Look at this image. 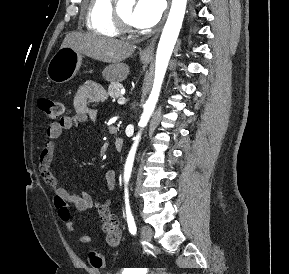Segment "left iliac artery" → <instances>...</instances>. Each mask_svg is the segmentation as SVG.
Wrapping results in <instances>:
<instances>
[{"label": "left iliac artery", "mask_w": 289, "mask_h": 274, "mask_svg": "<svg viewBox=\"0 0 289 274\" xmlns=\"http://www.w3.org/2000/svg\"><path fill=\"white\" fill-rule=\"evenodd\" d=\"M125 207H126V216H127V223H128V228L129 231L132 235L136 234V224L130 209V205H129V198H128V191L125 190Z\"/></svg>", "instance_id": "44dca946"}]
</instances>
